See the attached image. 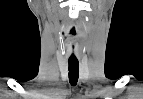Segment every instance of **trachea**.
Listing matches in <instances>:
<instances>
[{
	"instance_id": "obj_1",
	"label": "trachea",
	"mask_w": 143,
	"mask_h": 99,
	"mask_svg": "<svg viewBox=\"0 0 143 99\" xmlns=\"http://www.w3.org/2000/svg\"><path fill=\"white\" fill-rule=\"evenodd\" d=\"M79 77V63L77 60H69V82L76 86Z\"/></svg>"
}]
</instances>
